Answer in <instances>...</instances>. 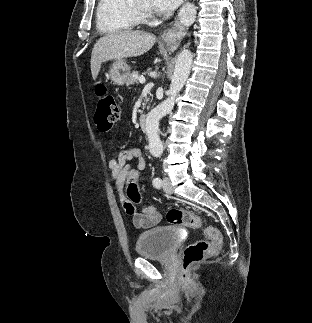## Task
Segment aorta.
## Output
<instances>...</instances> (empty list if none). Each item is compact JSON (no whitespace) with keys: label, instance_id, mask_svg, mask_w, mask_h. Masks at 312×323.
Listing matches in <instances>:
<instances>
[{"label":"aorta","instance_id":"aorta-1","mask_svg":"<svg viewBox=\"0 0 312 323\" xmlns=\"http://www.w3.org/2000/svg\"><path fill=\"white\" fill-rule=\"evenodd\" d=\"M193 62V54L190 50H183L179 54L176 64L174 74L171 78L169 96L167 100H164L160 106L154 108L152 112H149L146 122H145V132L148 138L149 150L151 154H162L163 146L160 140L159 132V120L166 116L168 112H171L174 108L175 98L181 92L183 86H185L190 70L191 64Z\"/></svg>","mask_w":312,"mask_h":323}]
</instances>
